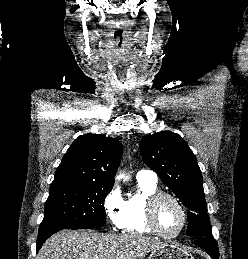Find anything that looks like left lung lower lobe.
Returning a JSON list of instances; mask_svg holds the SVG:
<instances>
[{
  "mask_svg": "<svg viewBox=\"0 0 248 259\" xmlns=\"http://www.w3.org/2000/svg\"><path fill=\"white\" fill-rule=\"evenodd\" d=\"M194 243L203 248L213 259H219L218 245L212 237H203Z\"/></svg>",
  "mask_w": 248,
  "mask_h": 259,
  "instance_id": "obj_1",
  "label": "left lung lower lobe"
}]
</instances>
